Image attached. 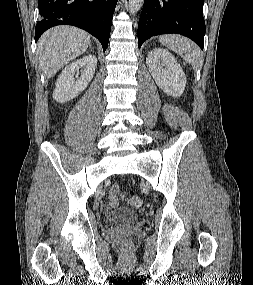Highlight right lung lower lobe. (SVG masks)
<instances>
[{
	"mask_svg": "<svg viewBox=\"0 0 253 285\" xmlns=\"http://www.w3.org/2000/svg\"><path fill=\"white\" fill-rule=\"evenodd\" d=\"M117 0H39L35 41L50 27L68 24L95 36L106 50Z\"/></svg>",
	"mask_w": 253,
	"mask_h": 285,
	"instance_id": "obj_1",
	"label": "right lung lower lobe"
}]
</instances>
